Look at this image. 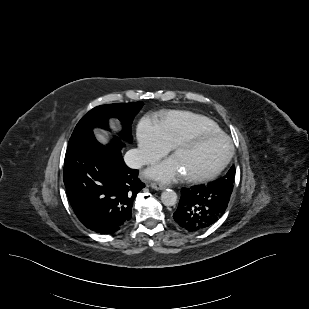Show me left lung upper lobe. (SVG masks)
<instances>
[{"label": "left lung upper lobe", "mask_w": 309, "mask_h": 309, "mask_svg": "<svg viewBox=\"0 0 309 309\" xmlns=\"http://www.w3.org/2000/svg\"><path fill=\"white\" fill-rule=\"evenodd\" d=\"M234 179H235V167L233 165L224 177H221L220 179L216 180L213 183L215 185H218L219 187L233 188Z\"/></svg>", "instance_id": "obj_1"}]
</instances>
